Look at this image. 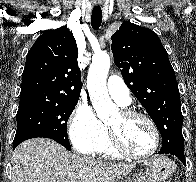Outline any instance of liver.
Here are the masks:
<instances>
[{
  "label": "liver",
  "instance_id": "1",
  "mask_svg": "<svg viewBox=\"0 0 196 182\" xmlns=\"http://www.w3.org/2000/svg\"><path fill=\"white\" fill-rule=\"evenodd\" d=\"M11 164V182H117L134 168L73 155L47 138L22 142Z\"/></svg>",
  "mask_w": 196,
  "mask_h": 182
}]
</instances>
